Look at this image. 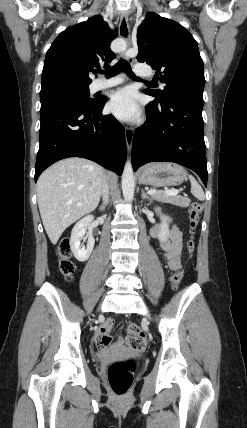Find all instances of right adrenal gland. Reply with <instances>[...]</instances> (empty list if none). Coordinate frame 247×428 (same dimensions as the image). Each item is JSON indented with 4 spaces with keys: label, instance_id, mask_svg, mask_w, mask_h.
Returning <instances> with one entry per match:
<instances>
[{
    "label": "right adrenal gland",
    "instance_id": "1",
    "mask_svg": "<svg viewBox=\"0 0 247 428\" xmlns=\"http://www.w3.org/2000/svg\"><path fill=\"white\" fill-rule=\"evenodd\" d=\"M106 206V203H103V205L100 206L101 209H104Z\"/></svg>",
    "mask_w": 247,
    "mask_h": 428
}]
</instances>
